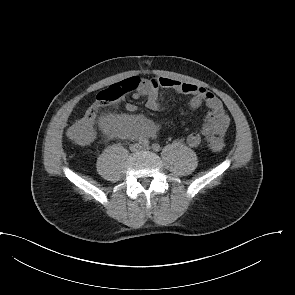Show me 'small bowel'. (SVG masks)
Masks as SVG:
<instances>
[{"mask_svg":"<svg viewBox=\"0 0 295 295\" xmlns=\"http://www.w3.org/2000/svg\"><path fill=\"white\" fill-rule=\"evenodd\" d=\"M172 90L190 96L188 106L191 109L205 105L208 109L205 121L187 137L191 147H197L203 140L223 139L229 125L230 117L224 109L221 100L211 91L191 83L182 82L167 77L140 79V85L133 94L134 99L147 97L146 107L159 110L161 106V91ZM129 112L137 111V106L127 103ZM102 127L112 136L122 139H134L152 136L155 127L152 122L142 115L120 114L107 115L102 118Z\"/></svg>","mask_w":295,"mask_h":295,"instance_id":"obj_1","label":"small bowel"}]
</instances>
